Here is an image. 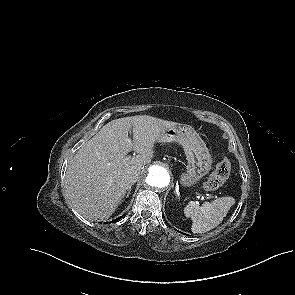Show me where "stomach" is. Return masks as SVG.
<instances>
[{
	"mask_svg": "<svg viewBox=\"0 0 295 295\" xmlns=\"http://www.w3.org/2000/svg\"><path fill=\"white\" fill-rule=\"evenodd\" d=\"M159 141L179 142L185 151L187 159L186 172L180 176L184 187L195 185L211 170L212 158L206 144L197 132L187 125H176L160 134Z\"/></svg>",
	"mask_w": 295,
	"mask_h": 295,
	"instance_id": "stomach-1",
	"label": "stomach"
}]
</instances>
